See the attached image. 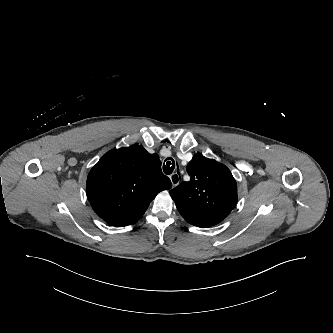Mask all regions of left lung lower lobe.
Returning <instances> with one entry per match:
<instances>
[{"mask_svg":"<svg viewBox=\"0 0 333 333\" xmlns=\"http://www.w3.org/2000/svg\"><path fill=\"white\" fill-rule=\"evenodd\" d=\"M176 207L188 223L204 228L218 224L231 212L228 208L197 209L185 205Z\"/></svg>","mask_w":333,"mask_h":333,"instance_id":"1","label":"left lung lower lobe"}]
</instances>
